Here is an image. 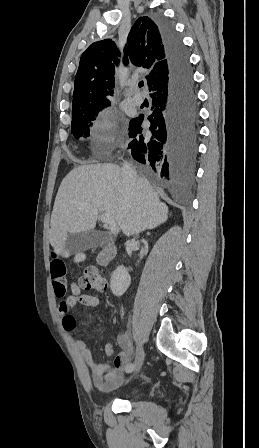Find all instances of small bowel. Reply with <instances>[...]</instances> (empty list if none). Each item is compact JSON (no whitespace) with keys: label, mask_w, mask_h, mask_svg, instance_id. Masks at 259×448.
<instances>
[{"label":"small bowel","mask_w":259,"mask_h":448,"mask_svg":"<svg viewBox=\"0 0 259 448\" xmlns=\"http://www.w3.org/2000/svg\"><path fill=\"white\" fill-rule=\"evenodd\" d=\"M50 275L52 286L57 297H63L67 290L66 285V266L56 253H52L50 260ZM70 294L60 302L58 313L61 317L63 328L68 332H74L76 329V320L71 314V310L78 304L87 307H97L99 299L95 296L81 292L80 286L76 282L69 285ZM120 347L119 354L114 359L113 367L107 364H101L95 361L86 343L82 340L76 342V347L88 367L86 381L93 383L101 391L109 392L118 388L124 379V370L129 365L132 356V350L129 338L125 334L118 337ZM104 353L107 357L114 354V348L111 344H106ZM126 371V370H125Z\"/></svg>","instance_id":"small-bowel-1"}]
</instances>
